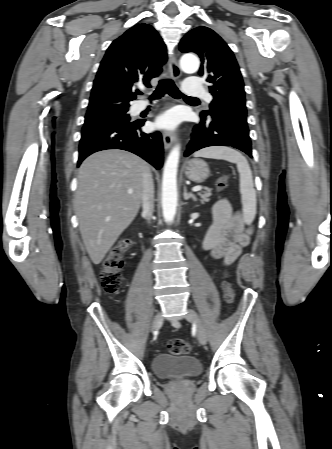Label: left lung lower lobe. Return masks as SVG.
Listing matches in <instances>:
<instances>
[{"instance_id":"0a47b994","label":"left lung lower lobe","mask_w":332,"mask_h":449,"mask_svg":"<svg viewBox=\"0 0 332 449\" xmlns=\"http://www.w3.org/2000/svg\"><path fill=\"white\" fill-rule=\"evenodd\" d=\"M209 146H231L252 158L251 139L245 116L215 114L201 120L193 129L192 138L184 156Z\"/></svg>"}]
</instances>
